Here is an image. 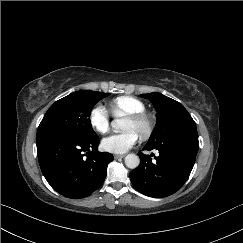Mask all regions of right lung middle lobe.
<instances>
[{
  "label": "right lung middle lobe",
  "mask_w": 243,
  "mask_h": 243,
  "mask_svg": "<svg viewBox=\"0 0 243 243\" xmlns=\"http://www.w3.org/2000/svg\"><path fill=\"white\" fill-rule=\"evenodd\" d=\"M109 93L77 91L56 101L44 115L36 140L46 136H69L77 139L97 137L90 122L94 105Z\"/></svg>",
  "instance_id": "obj_1"
}]
</instances>
